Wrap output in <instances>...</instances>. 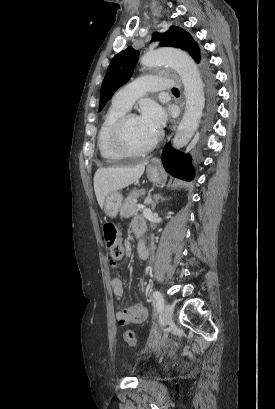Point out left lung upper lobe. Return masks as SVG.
<instances>
[{"label":"left lung upper lobe","mask_w":275,"mask_h":409,"mask_svg":"<svg viewBox=\"0 0 275 409\" xmlns=\"http://www.w3.org/2000/svg\"><path fill=\"white\" fill-rule=\"evenodd\" d=\"M157 39L161 40L160 46L176 47L185 50L199 63V48L190 34L184 29L171 26L169 30L162 35H159L157 32L153 33L152 41ZM138 58L139 52L135 51L132 47H128L114 56L101 86L99 111L104 107L114 92L129 80Z\"/></svg>","instance_id":"1"}]
</instances>
